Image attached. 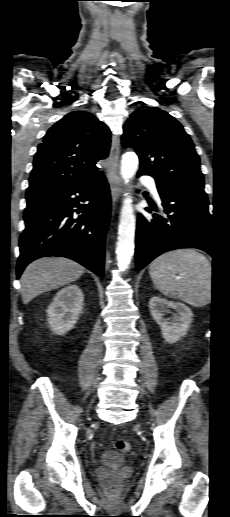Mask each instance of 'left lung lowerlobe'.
Instances as JSON below:
<instances>
[{
  "label": "left lung lower lobe",
  "instance_id": "left-lung-lower-lobe-1",
  "mask_svg": "<svg viewBox=\"0 0 230 517\" xmlns=\"http://www.w3.org/2000/svg\"><path fill=\"white\" fill-rule=\"evenodd\" d=\"M146 175L138 172V176ZM162 200L161 216L139 214L136 230V266L142 269L160 254L179 248H198L214 257L211 218L204 190L174 189L156 181ZM156 210L155 206H151ZM150 212V208H145Z\"/></svg>",
  "mask_w": 230,
  "mask_h": 517
}]
</instances>
